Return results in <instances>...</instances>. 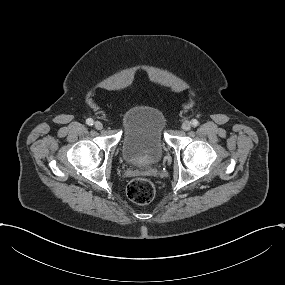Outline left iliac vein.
<instances>
[{
    "mask_svg": "<svg viewBox=\"0 0 285 285\" xmlns=\"http://www.w3.org/2000/svg\"><path fill=\"white\" fill-rule=\"evenodd\" d=\"M181 127L184 131H187L191 128V123L186 120L182 123Z\"/></svg>",
    "mask_w": 285,
    "mask_h": 285,
    "instance_id": "1",
    "label": "left iliac vein"
}]
</instances>
